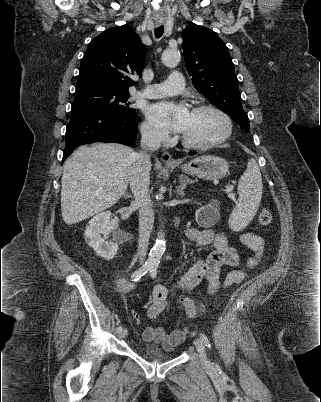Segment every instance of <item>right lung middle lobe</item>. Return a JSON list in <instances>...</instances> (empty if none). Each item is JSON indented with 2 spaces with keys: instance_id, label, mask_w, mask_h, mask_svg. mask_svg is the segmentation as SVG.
<instances>
[{
  "instance_id": "obj_1",
  "label": "right lung middle lobe",
  "mask_w": 321,
  "mask_h": 402,
  "mask_svg": "<svg viewBox=\"0 0 321 402\" xmlns=\"http://www.w3.org/2000/svg\"><path fill=\"white\" fill-rule=\"evenodd\" d=\"M129 92L102 84L76 85L71 113L94 111L113 115H130L135 109L129 107Z\"/></svg>"
}]
</instances>
